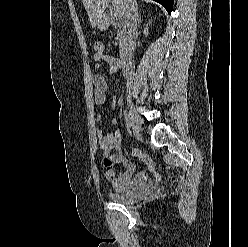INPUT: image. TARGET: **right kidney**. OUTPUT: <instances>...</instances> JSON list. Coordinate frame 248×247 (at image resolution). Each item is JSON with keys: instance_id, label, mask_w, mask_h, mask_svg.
Here are the masks:
<instances>
[{"instance_id": "1", "label": "right kidney", "mask_w": 248, "mask_h": 247, "mask_svg": "<svg viewBox=\"0 0 248 247\" xmlns=\"http://www.w3.org/2000/svg\"><path fill=\"white\" fill-rule=\"evenodd\" d=\"M148 24H151V21L149 20ZM148 24H146V28L144 29V34L148 35Z\"/></svg>"}]
</instances>
